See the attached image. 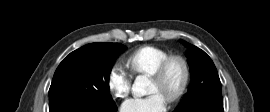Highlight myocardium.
<instances>
[{
    "mask_svg": "<svg viewBox=\"0 0 270 112\" xmlns=\"http://www.w3.org/2000/svg\"><path fill=\"white\" fill-rule=\"evenodd\" d=\"M175 63L179 64L182 68V78L176 90L166 99L169 103L179 101L187 91L191 79V69L188 61L183 56L170 55L150 75L151 79L159 83H164L171 66Z\"/></svg>",
    "mask_w": 270,
    "mask_h": 112,
    "instance_id": "1",
    "label": "myocardium"
}]
</instances>
